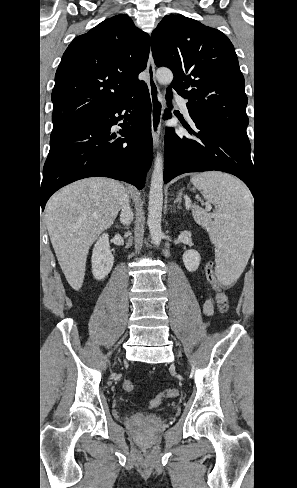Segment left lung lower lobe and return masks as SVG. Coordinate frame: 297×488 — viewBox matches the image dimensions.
Segmentation results:
<instances>
[{
	"label": "left lung lower lobe",
	"mask_w": 297,
	"mask_h": 488,
	"mask_svg": "<svg viewBox=\"0 0 297 488\" xmlns=\"http://www.w3.org/2000/svg\"><path fill=\"white\" fill-rule=\"evenodd\" d=\"M166 99H171L168 89ZM164 116L170 118V110H166ZM194 123L196 131L184 127L196 138L183 136L173 128L166 129L164 183L187 172L217 170L237 176L253 194L254 166L248 137L218 126Z\"/></svg>",
	"instance_id": "obj_1"
}]
</instances>
